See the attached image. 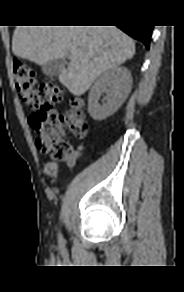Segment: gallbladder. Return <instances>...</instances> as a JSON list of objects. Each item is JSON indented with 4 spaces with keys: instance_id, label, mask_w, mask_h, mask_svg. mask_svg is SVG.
<instances>
[{
    "instance_id": "1",
    "label": "gallbladder",
    "mask_w": 184,
    "mask_h": 292,
    "mask_svg": "<svg viewBox=\"0 0 184 292\" xmlns=\"http://www.w3.org/2000/svg\"><path fill=\"white\" fill-rule=\"evenodd\" d=\"M62 69H63V65L58 60H52L42 65V72L49 77L60 75V73L62 72Z\"/></svg>"
}]
</instances>
